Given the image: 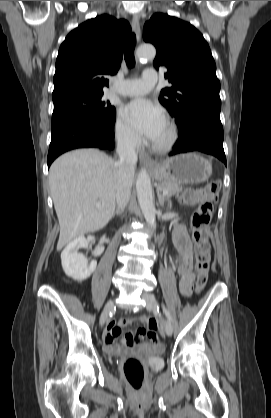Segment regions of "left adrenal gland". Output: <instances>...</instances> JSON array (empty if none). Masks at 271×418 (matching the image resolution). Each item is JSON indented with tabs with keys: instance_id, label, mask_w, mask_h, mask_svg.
<instances>
[{
	"instance_id": "a2214340",
	"label": "left adrenal gland",
	"mask_w": 271,
	"mask_h": 418,
	"mask_svg": "<svg viewBox=\"0 0 271 418\" xmlns=\"http://www.w3.org/2000/svg\"><path fill=\"white\" fill-rule=\"evenodd\" d=\"M158 196V203L161 207L164 206V204H167V209H171V202L168 199H165L159 192L157 193Z\"/></svg>"
}]
</instances>
